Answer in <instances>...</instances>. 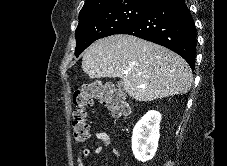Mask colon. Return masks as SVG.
Wrapping results in <instances>:
<instances>
[{
	"label": "colon",
	"mask_w": 227,
	"mask_h": 166,
	"mask_svg": "<svg viewBox=\"0 0 227 166\" xmlns=\"http://www.w3.org/2000/svg\"><path fill=\"white\" fill-rule=\"evenodd\" d=\"M93 99L105 105L116 119L131 112V105L121 90L100 81L85 83L73 95L72 134L76 142L83 143L89 139V109Z\"/></svg>",
	"instance_id": "colon-1"
}]
</instances>
